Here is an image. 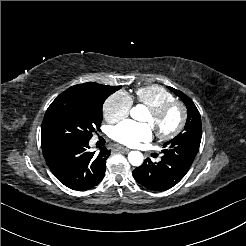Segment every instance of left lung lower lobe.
<instances>
[{
	"label": "left lung lower lobe",
	"mask_w": 246,
	"mask_h": 246,
	"mask_svg": "<svg viewBox=\"0 0 246 246\" xmlns=\"http://www.w3.org/2000/svg\"><path fill=\"white\" fill-rule=\"evenodd\" d=\"M190 167L182 161L163 154L161 161L152 163L147 158L144 163L133 171L135 180L153 191H164L175 186L188 172Z\"/></svg>",
	"instance_id": "0a47b994"
}]
</instances>
